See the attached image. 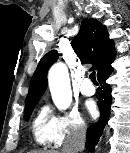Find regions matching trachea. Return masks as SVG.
I'll use <instances>...</instances> for the list:
<instances>
[{
  "instance_id": "obj_1",
  "label": "trachea",
  "mask_w": 130,
  "mask_h": 153,
  "mask_svg": "<svg viewBox=\"0 0 130 153\" xmlns=\"http://www.w3.org/2000/svg\"><path fill=\"white\" fill-rule=\"evenodd\" d=\"M90 79H91V81H92L95 85H98V82H97V80H96L95 71H93V72L90 74Z\"/></svg>"
}]
</instances>
